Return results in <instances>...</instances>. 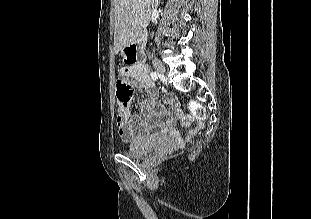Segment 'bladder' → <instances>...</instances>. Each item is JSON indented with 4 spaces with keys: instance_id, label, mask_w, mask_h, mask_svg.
Masks as SVG:
<instances>
[{
    "instance_id": "bladder-1",
    "label": "bladder",
    "mask_w": 311,
    "mask_h": 219,
    "mask_svg": "<svg viewBox=\"0 0 311 219\" xmlns=\"http://www.w3.org/2000/svg\"><path fill=\"white\" fill-rule=\"evenodd\" d=\"M152 150L153 147L151 145H147L143 141L134 140L128 147L127 155L132 158H139L149 154Z\"/></svg>"
}]
</instances>
